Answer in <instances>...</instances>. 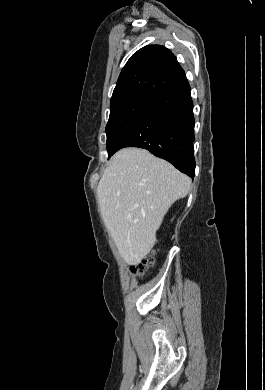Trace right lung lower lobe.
Masks as SVG:
<instances>
[{"mask_svg":"<svg viewBox=\"0 0 265 390\" xmlns=\"http://www.w3.org/2000/svg\"><path fill=\"white\" fill-rule=\"evenodd\" d=\"M194 125L190 86L185 78L156 97L133 120L119 138L115 151L125 147L147 149L193 178Z\"/></svg>","mask_w":265,"mask_h":390,"instance_id":"98d812e1","label":"right lung lower lobe"}]
</instances>
